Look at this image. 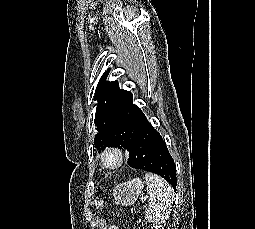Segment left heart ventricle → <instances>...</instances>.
Listing matches in <instances>:
<instances>
[{"label":"left heart ventricle","mask_w":255,"mask_h":229,"mask_svg":"<svg viewBox=\"0 0 255 229\" xmlns=\"http://www.w3.org/2000/svg\"><path fill=\"white\" fill-rule=\"evenodd\" d=\"M108 160H109V161H112V158L110 157V158H108Z\"/></svg>","instance_id":"b2bd125f"}]
</instances>
